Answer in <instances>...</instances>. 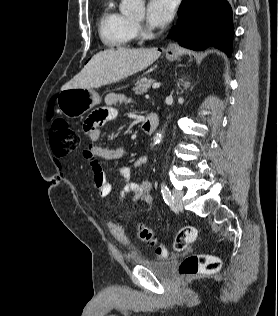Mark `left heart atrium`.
<instances>
[{"label": "left heart atrium", "instance_id": "1", "mask_svg": "<svg viewBox=\"0 0 278 316\" xmlns=\"http://www.w3.org/2000/svg\"><path fill=\"white\" fill-rule=\"evenodd\" d=\"M174 11V0H149L146 6L147 23L153 28L164 26L170 22Z\"/></svg>", "mask_w": 278, "mask_h": 316}]
</instances>
